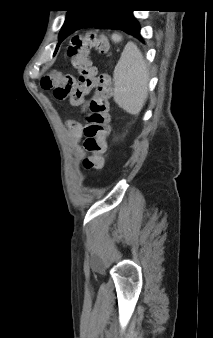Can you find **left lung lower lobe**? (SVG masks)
<instances>
[{
    "instance_id": "obj_1",
    "label": "left lung lower lobe",
    "mask_w": 213,
    "mask_h": 338,
    "mask_svg": "<svg viewBox=\"0 0 213 338\" xmlns=\"http://www.w3.org/2000/svg\"><path fill=\"white\" fill-rule=\"evenodd\" d=\"M120 29L143 42L140 26L132 15V10L115 9H87L70 26L67 36L82 28ZM66 36V37H67Z\"/></svg>"
}]
</instances>
